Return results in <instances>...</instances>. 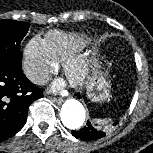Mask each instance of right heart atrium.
I'll list each match as a JSON object with an SVG mask.
<instances>
[{"mask_svg": "<svg viewBox=\"0 0 153 153\" xmlns=\"http://www.w3.org/2000/svg\"><path fill=\"white\" fill-rule=\"evenodd\" d=\"M58 63L49 51L44 39L33 37L24 47L23 68L26 75L36 84L47 81L57 70Z\"/></svg>", "mask_w": 153, "mask_h": 153, "instance_id": "obj_1", "label": "right heart atrium"}]
</instances>
